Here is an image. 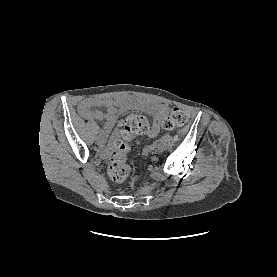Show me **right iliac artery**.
Wrapping results in <instances>:
<instances>
[{
  "label": "right iliac artery",
  "instance_id": "1",
  "mask_svg": "<svg viewBox=\"0 0 277 277\" xmlns=\"http://www.w3.org/2000/svg\"><path fill=\"white\" fill-rule=\"evenodd\" d=\"M98 137H103L102 131H99V132H98Z\"/></svg>",
  "mask_w": 277,
  "mask_h": 277
}]
</instances>
